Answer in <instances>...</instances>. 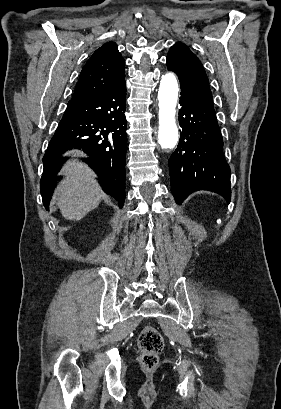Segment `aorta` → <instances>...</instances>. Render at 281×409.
<instances>
[{"mask_svg": "<svg viewBox=\"0 0 281 409\" xmlns=\"http://www.w3.org/2000/svg\"><path fill=\"white\" fill-rule=\"evenodd\" d=\"M177 99V79L173 73H166L164 76H162L158 91V141L163 149H173L178 142V129L175 122Z\"/></svg>", "mask_w": 281, "mask_h": 409, "instance_id": "aorta-1", "label": "aorta"}]
</instances>
